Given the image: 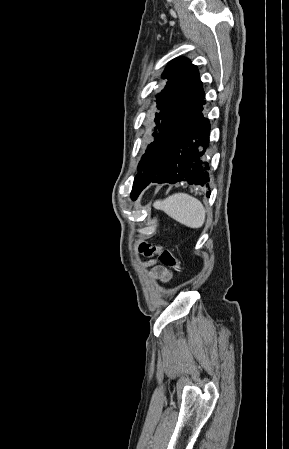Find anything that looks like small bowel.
<instances>
[{
	"label": "small bowel",
	"mask_w": 289,
	"mask_h": 449,
	"mask_svg": "<svg viewBox=\"0 0 289 449\" xmlns=\"http://www.w3.org/2000/svg\"><path fill=\"white\" fill-rule=\"evenodd\" d=\"M147 265L153 266L150 272V275L153 278L160 280L164 283H167L171 280L172 273L166 267L162 265H157L155 260L148 261Z\"/></svg>",
	"instance_id": "small-bowel-1"
}]
</instances>
